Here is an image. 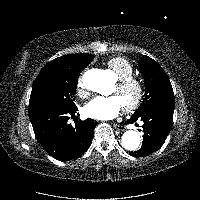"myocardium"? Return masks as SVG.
<instances>
[{
  "label": "myocardium",
  "instance_id": "1",
  "mask_svg": "<svg viewBox=\"0 0 200 200\" xmlns=\"http://www.w3.org/2000/svg\"><path fill=\"white\" fill-rule=\"evenodd\" d=\"M118 90H125L127 88L133 87L136 90V96L132 102L123 106L125 112H133L139 108L142 104L145 96V85L139 77L129 76L123 79H119L116 83Z\"/></svg>",
  "mask_w": 200,
  "mask_h": 200
}]
</instances>
